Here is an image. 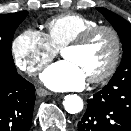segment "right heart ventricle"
<instances>
[{"mask_svg": "<svg viewBox=\"0 0 131 131\" xmlns=\"http://www.w3.org/2000/svg\"><path fill=\"white\" fill-rule=\"evenodd\" d=\"M96 25L98 23L94 19L76 13H67L49 19L45 23V35L50 43L60 50L80 33Z\"/></svg>", "mask_w": 131, "mask_h": 131, "instance_id": "1", "label": "right heart ventricle"}]
</instances>
